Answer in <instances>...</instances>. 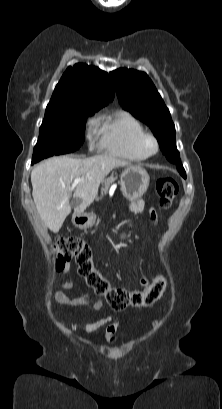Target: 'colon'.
Segmentation results:
<instances>
[{
  "label": "colon",
  "instance_id": "colon-1",
  "mask_svg": "<svg viewBox=\"0 0 222 409\" xmlns=\"http://www.w3.org/2000/svg\"><path fill=\"white\" fill-rule=\"evenodd\" d=\"M155 187L160 205L164 208L170 207L179 191L176 180L170 176H162L157 179ZM54 252L58 271L63 270L66 263L74 259L78 265V272L87 285L96 295L104 297L108 305L116 311L127 307L139 308L151 305L160 298L166 287L164 278L156 279L142 290L132 291L112 286L96 268L89 244L76 237L57 240Z\"/></svg>",
  "mask_w": 222,
  "mask_h": 409
}]
</instances>
